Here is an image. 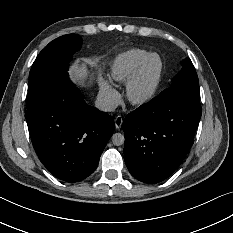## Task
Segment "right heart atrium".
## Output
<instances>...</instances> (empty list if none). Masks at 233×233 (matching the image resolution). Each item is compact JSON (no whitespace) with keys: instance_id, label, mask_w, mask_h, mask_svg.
<instances>
[{"instance_id":"1","label":"right heart atrium","mask_w":233,"mask_h":233,"mask_svg":"<svg viewBox=\"0 0 233 233\" xmlns=\"http://www.w3.org/2000/svg\"><path fill=\"white\" fill-rule=\"evenodd\" d=\"M99 98L102 105L108 109H114L120 102V94L118 91L107 81L101 80L99 89Z\"/></svg>"}]
</instances>
